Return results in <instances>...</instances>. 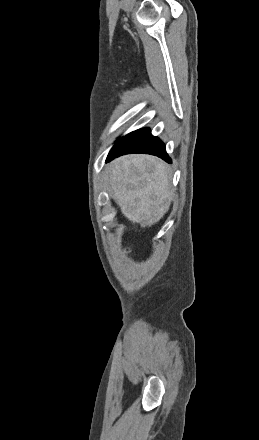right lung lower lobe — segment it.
<instances>
[{"label":"right lung lower lobe","instance_id":"obj_1","mask_svg":"<svg viewBox=\"0 0 259 440\" xmlns=\"http://www.w3.org/2000/svg\"><path fill=\"white\" fill-rule=\"evenodd\" d=\"M128 153L152 154L171 163V159L166 153L164 143L158 137L152 136L148 128L133 131L120 138L111 149L107 161Z\"/></svg>","mask_w":259,"mask_h":440}]
</instances>
